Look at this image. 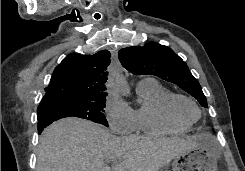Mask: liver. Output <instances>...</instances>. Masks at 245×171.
Returning <instances> with one entry per match:
<instances>
[{"instance_id":"obj_1","label":"liver","mask_w":245,"mask_h":171,"mask_svg":"<svg viewBox=\"0 0 245 171\" xmlns=\"http://www.w3.org/2000/svg\"><path fill=\"white\" fill-rule=\"evenodd\" d=\"M203 137H116L93 122L65 118L42 133L36 171H158ZM105 160L115 162L112 169Z\"/></svg>"}]
</instances>
